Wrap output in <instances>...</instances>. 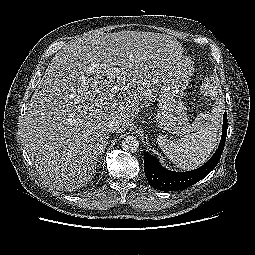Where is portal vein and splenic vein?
<instances>
[{
	"mask_svg": "<svg viewBox=\"0 0 255 255\" xmlns=\"http://www.w3.org/2000/svg\"><path fill=\"white\" fill-rule=\"evenodd\" d=\"M107 71L111 72L115 76H119L121 69L118 67H112V68H108ZM111 91L112 93H116L118 91V86H114Z\"/></svg>",
	"mask_w": 255,
	"mask_h": 255,
	"instance_id": "obj_1",
	"label": "portal vein and splenic vein"
}]
</instances>
